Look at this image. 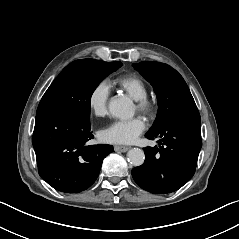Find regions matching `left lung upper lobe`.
Wrapping results in <instances>:
<instances>
[{"label":"left lung upper lobe","instance_id":"left-lung-upper-lobe-1","mask_svg":"<svg viewBox=\"0 0 239 239\" xmlns=\"http://www.w3.org/2000/svg\"><path fill=\"white\" fill-rule=\"evenodd\" d=\"M133 67L151 83L158 99V114L149 132L159 129L172 116L198 110L182 76L167 64L156 61L134 63Z\"/></svg>","mask_w":239,"mask_h":239}]
</instances>
